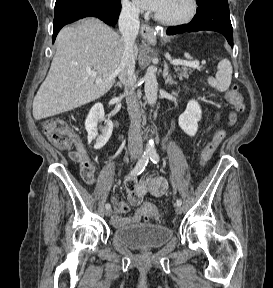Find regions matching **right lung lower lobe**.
Instances as JSON below:
<instances>
[{"instance_id":"obj_1","label":"right lung lower lobe","mask_w":273,"mask_h":288,"mask_svg":"<svg viewBox=\"0 0 273 288\" xmlns=\"http://www.w3.org/2000/svg\"><path fill=\"white\" fill-rule=\"evenodd\" d=\"M120 9V0L113 6H104L96 2L59 6L55 8L53 42L64 25L84 17H97L108 25H115L120 14Z\"/></svg>"}]
</instances>
